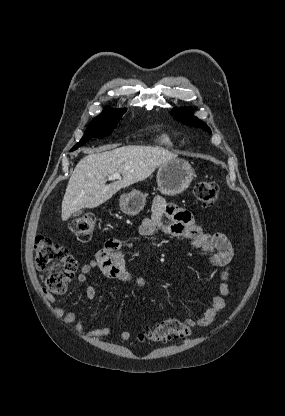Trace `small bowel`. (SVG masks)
<instances>
[{"label":"small bowel","mask_w":285,"mask_h":416,"mask_svg":"<svg viewBox=\"0 0 285 416\" xmlns=\"http://www.w3.org/2000/svg\"><path fill=\"white\" fill-rule=\"evenodd\" d=\"M167 219V221L165 220ZM157 232L166 235L190 240L192 244L201 250L212 253L210 261L213 265L222 268L219 295L213 298L203 315L198 318H188L185 324L190 328H206L210 326L216 317L226 307V297L229 294L227 283L228 264L233 257V248L227 236L221 232L208 233L202 226L197 224L192 214L183 208L167 203L162 197H156L152 204L151 216L146 218L140 226V234L143 236H152ZM131 242H125L118 238H111L106 241L104 246L96 253L94 259L84 263L77 275V281L85 284L88 281V275L95 269H98L102 276L107 279L117 280L122 283H134L139 286L149 285L144 278H134L126 267L124 259V249L131 248ZM96 289L88 285L85 290L87 300L94 299ZM46 298L52 304L57 303L56 296L52 293H46ZM54 314L62 319L66 324H74L76 332L89 338H101L108 336L112 329L109 326H100L91 330L85 328L84 323L76 318L74 312L64 307L54 306ZM131 337L129 331H122L119 338L123 341Z\"/></svg>","instance_id":"obj_1"}]
</instances>
